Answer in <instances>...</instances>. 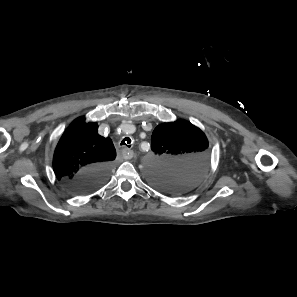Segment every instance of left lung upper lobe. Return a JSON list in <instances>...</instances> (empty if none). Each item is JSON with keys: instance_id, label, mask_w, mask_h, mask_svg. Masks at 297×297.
Here are the masks:
<instances>
[{"instance_id": "left-lung-upper-lobe-1", "label": "left lung upper lobe", "mask_w": 297, "mask_h": 297, "mask_svg": "<svg viewBox=\"0 0 297 297\" xmlns=\"http://www.w3.org/2000/svg\"><path fill=\"white\" fill-rule=\"evenodd\" d=\"M155 164L150 183L168 194L183 193L196 186L206 172L209 152L204 133L183 120L158 125L151 137Z\"/></svg>"}]
</instances>
